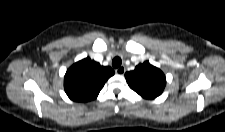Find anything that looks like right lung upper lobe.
Returning <instances> with one entry per match:
<instances>
[{"mask_svg": "<svg viewBox=\"0 0 225 132\" xmlns=\"http://www.w3.org/2000/svg\"><path fill=\"white\" fill-rule=\"evenodd\" d=\"M112 75L114 71L111 67H103L87 57L67 70L64 77L65 92L73 101L93 100Z\"/></svg>", "mask_w": 225, "mask_h": 132, "instance_id": "1", "label": "right lung upper lobe"}]
</instances>
